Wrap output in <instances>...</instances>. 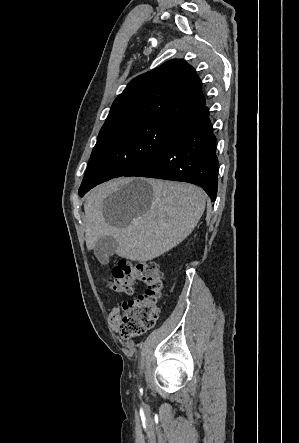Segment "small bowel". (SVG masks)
Segmentation results:
<instances>
[{
	"label": "small bowel",
	"mask_w": 299,
	"mask_h": 443,
	"mask_svg": "<svg viewBox=\"0 0 299 443\" xmlns=\"http://www.w3.org/2000/svg\"><path fill=\"white\" fill-rule=\"evenodd\" d=\"M109 321H110V325L113 329H118L120 326V321H121V315L120 313L116 310L113 309L110 314H109Z\"/></svg>",
	"instance_id": "obj_1"
}]
</instances>
